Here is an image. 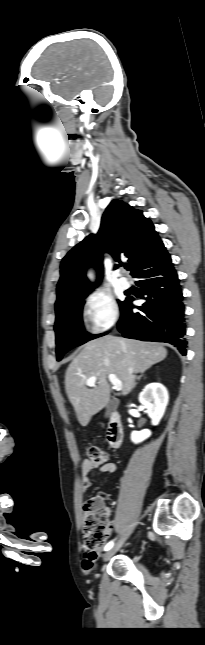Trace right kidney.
Here are the masks:
<instances>
[{
  "instance_id": "obj_1",
  "label": "right kidney",
  "mask_w": 205,
  "mask_h": 645,
  "mask_svg": "<svg viewBox=\"0 0 205 645\" xmlns=\"http://www.w3.org/2000/svg\"><path fill=\"white\" fill-rule=\"evenodd\" d=\"M169 400L168 391L160 383H150L139 394V402L146 409L147 415L152 420V425H158L162 419ZM151 435V431L144 429L142 431H133L131 441L134 443L142 442Z\"/></svg>"
}]
</instances>
